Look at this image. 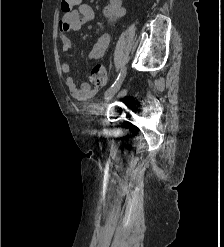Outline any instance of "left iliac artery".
Returning <instances> with one entry per match:
<instances>
[{"label":"left iliac artery","mask_w":224,"mask_h":247,"mask_svg":"<svg viewBox=\"0 0 224 247\" xmlns=\"http://www.w3.org/2000/svg\"><path fill=\"white\" fill-rule=\"evenodd\" d=\"M125 76H126V68L123 67V68L121 69L120 73L118 74L116 80H115L114 83L111 85V87L114 86L115 84H117L118 82L123 81V79L125 78Z\"/></svg>","instance_id":"left-iliac-artery-1"}]
</instances>
